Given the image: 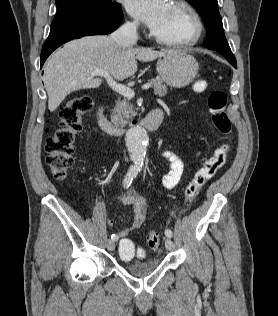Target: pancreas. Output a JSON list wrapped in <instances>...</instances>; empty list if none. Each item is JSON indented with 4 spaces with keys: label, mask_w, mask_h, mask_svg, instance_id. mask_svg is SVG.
Segmentation results:
<instances>
[{
    "label": "pancreas",
    "mask_w": 278,
    "mask_h": 316,
    "mask_svg": "<svg viewBox=\"0 0 278 316\" xmlns=\"http://www.w3.org/2000/svg\"><path fill=\"white\" fill-rule=\"evenodd\" d=\"M150 84L153 85L154 93L159 97H163L167 93V86L163 84L160 78L150 80ZM135 116V110L133 104L129 100L118 101L111 115L112 122L115 125H126L128 120Z\"/></svg>",
    "instance_id": "cf45deb5"
}]
</instances>
